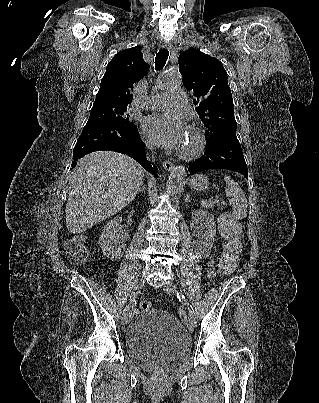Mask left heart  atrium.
<instances>
[{"mask_svg":"<svg viewBox=\"0 0 319 403\" xmlns=\"http://www.w3.org/2000/svg\"><path fill=\"white\" fill-rule=\"evenodd\" d=\"M145 134L158 146L182 149L187 139L186 127L181 118L172 113L154 114L143 123Z\"/></svg>","mask_w":319,"mask_h":403,"instance_id":"39dd6f15","label":"left heart atrium"}]
</instances>
